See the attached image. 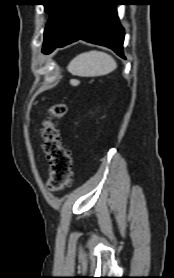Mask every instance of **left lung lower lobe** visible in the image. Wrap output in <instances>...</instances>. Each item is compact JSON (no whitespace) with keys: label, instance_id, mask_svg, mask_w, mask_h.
<instances>
[{"label":"left lung lower lobe","instance_id":"left-lung-lower-lobe-1","mask_svg":"<svg viewBox=\"0 0 174 278\" xmlns=\"http://www.w3.org/2000/svg\"><path fill=\"white\" fill-rule=\"evenodd\" d=\"M119 0H78L63 37L45 54L79 39L103 45L123 55L124 29L116 10Z\"/></svg>","mask_w":174,"mask_h":278}]
</instances>
